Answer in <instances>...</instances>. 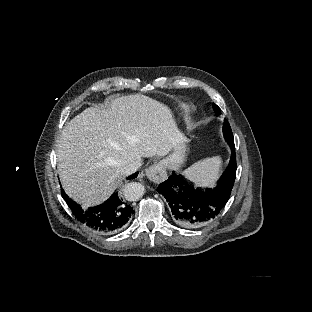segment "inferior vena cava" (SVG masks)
Returning <instances> with one entry per match:
<instances>
[{
  "label": "inferior vena cava",
  "instance_id": "1",
  "mask_svg": "<svg viewBox=\"0 0 312 312\" xmlns=\"http://www.w3.org/2000/svg\"><path fill=\"white\" fill-rule=\"evenodd\" d=\"M142 166V160L141 158L136 159L135 161H133V163H131L128 168H127V174H133L135 173L140 167Z\"/></svg>",
  "mask_w": 312,
  "mask_h": 312
}]
</instances>
